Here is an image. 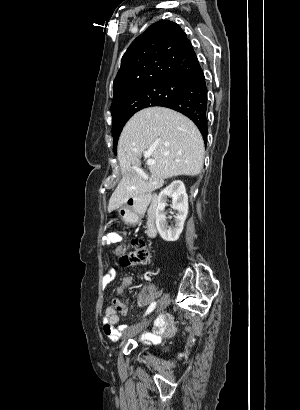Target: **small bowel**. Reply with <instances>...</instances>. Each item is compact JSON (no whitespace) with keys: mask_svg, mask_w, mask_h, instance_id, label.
Instances as JSON below:
<instances>
[{"mask_svg":"<svg viewBox=\"0 0 300 410\" xmlns=\"http://www.w3.org/2000/svg\"><path fill=\"white\" fill-rule=\"evenodd\" d=\"M119 241V236L116 234H111L108 237L109 243H115ZM117 252H123L122 247L117 248ZM116 277V270L113 267H108L105 270L103 276V285L108 286ZM133 278L130 276H126L121 280L119 287L117 288V294L113 298L111 304L106 307L104 311V315L102 318L103 322V331L106 336L111 341H117L124 332L129 331L131 327L128 325H119L116 324L120 320V316L127 313V306L121 300L120 296L122 295L124 289L133 283ZM173 333V328L168 320L167 315L161 314L158 319L156 320V326L154 329V333L151 335H144V338L149 341H156L161 336H169Z\"/></svg>","mask_w":300,"mask_h":410,"instance_id":"small-bowel-1","label":"small bowel"}]
</instances>
